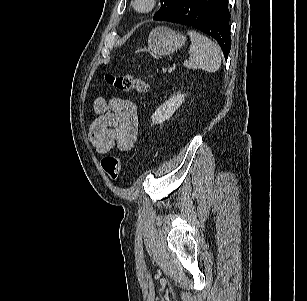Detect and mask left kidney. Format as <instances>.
I'll use <instances>...</instances> for the list:
<instances>
[{
    "mask_svg": "<svg viewBox=\"0 0 307 301\" xmlns=\"http://www.w3.org/2000/svg\"><path fill=\"white\" fill-rule=\"evenodd\" d=\"M184 101V94L177 93L173 95L168 101L156 109L155 113L151 117L152 124H161L165 120L169 119Z\"/></svg>",
    "mask_w": 307,
    "mask_h": 301,
    "instance_id": "5707ae66",
    "label": "left kidney"
}]
</instances>
